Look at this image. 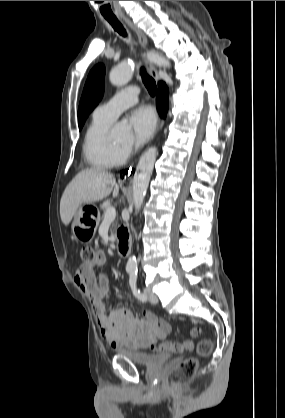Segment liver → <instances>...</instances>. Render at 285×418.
<instances>
[{
  "instance_id": "1",
  "label": "liver",
  "mask_w": 285,
  "mask_h": 418,
  "mask_svg": "<svg viewBox=\"0 0 285 418\" xmlns=\"http://www.w3.org/2000/svg\"><path fill=\"white\" fill-rule=\"evenodd\" d=\"M113 192L117 197L119 186L110 172L101 168H87L80 171L67 185L60 201V216L65 226L69 225L82 204L100 201Z\"/></svg>"
}]
</instances>
